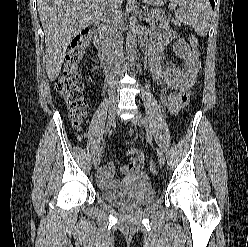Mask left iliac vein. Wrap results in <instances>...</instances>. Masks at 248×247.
Here are the masks:
<instances>
[{
    "label": "left iliac vein",
    "instance_id": "4c4485c4",
    "mask_svg": "<svg viewBox=\"0 0 248 247\" xmlns=\"http://www.w3.org/2000/svg\"><path fill=\"white\" fill-rule=\"evenodd\" d=\"M131 121L134 125L144 127V122L142 120V117L138 113L135 114V116L132 118ZM157 157L159 164L163 166L165 164V157L163 152L159 148L157 149Z\"/></svg>",
    "mask_w": 248,
    "mask_h": 247
}]
</instances>
